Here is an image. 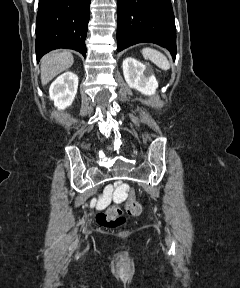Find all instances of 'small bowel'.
Returning a JSON list of instances; mask_svg holds the SVG:
<instances>
[{"label":"small bowel","mask_w":240,"mask_h":288,"mask_svg":"<svg viewBox=\"0 0 240 288\" xmlns=\"http://www.w3.org/2000/svg\"><path fill=\"white\" fill-rule=\"evenodd\" d=\"M124 193H125V187H120V188H118L117 191H116V194H117V196H119V197H122V196L124 195Z\"/></svg>","instance_id":"small-bowel-1"}]
</instances>
